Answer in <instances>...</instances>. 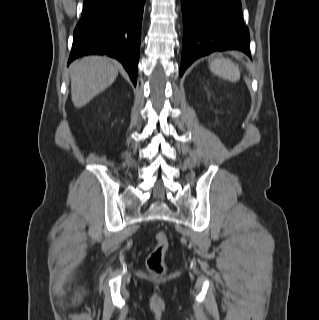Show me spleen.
<instances>
[{"label":"spleen","mask_w":319,"mask_h":320,"mask_svg":"<svg viewBox=\"0 0 319 320\" xmlns=\"http://www.w3.org/2000/svg\"><path fill=\"white\" fill-rule=\"evenodd\" d=\"M209 66L215 75L226 80L236 82L240 79L239 67L229 59H216Z\"/></svg>","instance_id":"1"}]
</instances>
